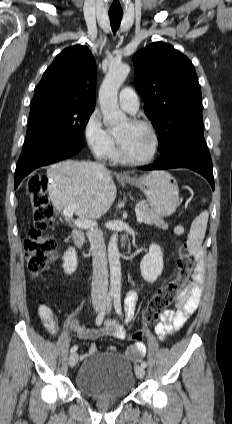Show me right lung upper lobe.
Instances as JSON below:
<instances>
[{
  "mask_svg": "<svg viewBox=\"0 0 232 424\" xmlns=\"http://www.w3.org/2000/svg\"><path fill=\"white\" fill-rule=\"evenodd\" d=\"M96 63L91 51L81 45L64 49L44 72L31 108L65 104L94 108Z\"/></svg>",
  "mask_w": 232,
  "mask_h": 424,
  "instance_id": "1",
  "label": "right lung upper lobe"
}]
</instances>
